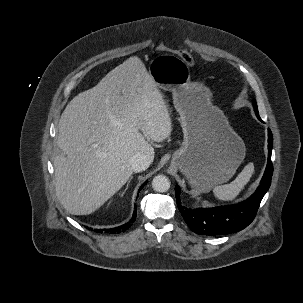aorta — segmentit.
I'll use <instances>...</instances> for the list:
<instances>
[{
  "instance_id": "aorta-1",
  "label": "aorta",
  "mask_w": 303,
  "mask_h": 303,
  "mask_svg": "<svg viewBox=\"0 0 303 303\" xmlns=\"http://www.w3.org/2000/svg\"><path fill=\"white\" fill-rule=\"evenodd\" d=\"M152 187L157 192H166L170 188V181L164 175H157L152 180Z\"/></svg>"
}]
</instances>
